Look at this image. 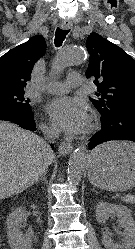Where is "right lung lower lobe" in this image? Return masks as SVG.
Returning a JSON list of instances; mask_svg holds the SVG:
<instances>
[{"label": "right lung lower lobe", "mask_w": 135, "mask_h": 249, "mask_svg": "<svg viewBox=\"0 0 135 249\" xmlns=\"http://www.w3.org/2000/svg\"><path fill=\"white\" fill-rule=\"evenodd\" d=\"M0 120L11 121L27 130H36L32 111L24 110L13 104L0 102ZM51 147L54 148L53 144Z\"/></svg>", "instance_id": "98d812e1"}]
</instances>
